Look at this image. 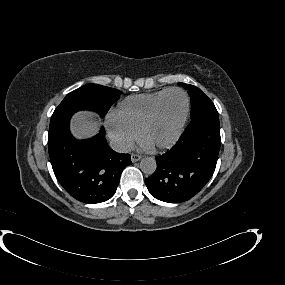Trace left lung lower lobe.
Masks as SVG:
<instances>
[{"instance_id": "0a47b994", "label": "left lung lower lobe", "mask_w": 285, "mask_h": 285, "mask_svg": "<svg viewBox=\"0 0 285 285\" xmlns=\"http://www.w3.org/2000/svg\"><path fill=\"white\" fill-rule=\"evenodd\" d=\"M220 143L217 109L202 110L191 118L177 143L156 157L157 169L145 179L148 191L164 202L191 199L212 177Z\"/></svg>"}]
</instances>
